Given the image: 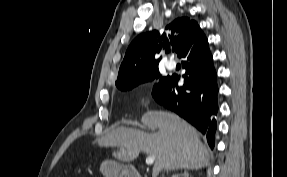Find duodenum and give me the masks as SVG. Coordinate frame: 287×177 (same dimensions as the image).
<instances>
[{"instance_id": "obj_1", "label": "duodenum", "mask_w": 287, "mask_h": 177, "mask_svg": "<svg viewBox=\"0 0 287 177\" xmlns=\"http://www.w3.org/2000/svg\"><path fill=\"white\" fill-rule=\"evenodd\" d=\"M115 175H122V177H141L134 167L124 166L122 169L112 171Z\"/></svg>"}]
</instances>
